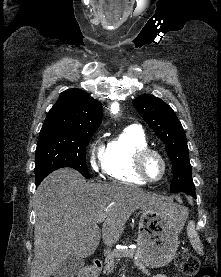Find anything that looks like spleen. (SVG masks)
<instances>
[{"instance_id":"3e777b00","label":"spleen","mask_w":221,"mask_h":277,"mask_svg":"<svg viewBox=\"0 0 221 277\" xmlns=\"http://www.w3.org/2000/svg\"><path fill=\"white\" fill-rule=\"evenodd\" d=\"M187 235L192 247L196 250L198 254L203 255V245L198 236V233L196 232L194 221L189 222L187 226Z\"/></svg>"}]
</instances>
